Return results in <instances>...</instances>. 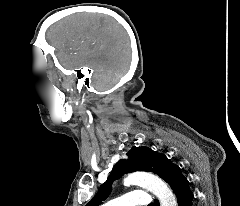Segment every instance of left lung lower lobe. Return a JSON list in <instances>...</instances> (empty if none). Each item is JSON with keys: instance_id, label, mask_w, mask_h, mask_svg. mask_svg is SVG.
Returning a JSON list of instances; mask_svg holds the SVG:
<instances>
[{"instance_id": "left-lung-lower-lobe-1", "label": "left lung lower lobe", "mask_w": 240, "mask_h": 206, "mask_svg": "<svg viewBox=\"0 0 240 206\" xmlns=\"http://www.w3.org/2000/svg\"><path fill=\"white\" fill-rule=\"evenodd\" d=\"M174 191L178 206H193V193L190 189L187 178L182 174L181 169L172 164L164 179ZM154 206H159L158 202H155Z\"/></svg>"}]
</instances>
